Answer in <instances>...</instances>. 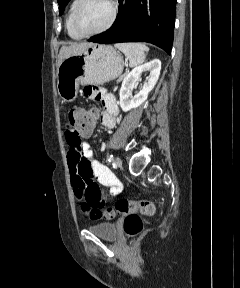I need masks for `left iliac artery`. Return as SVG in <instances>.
I'll return each mask as SVG.
<instances>
[{"mask_svg":"<svg viewBox=\"0 0 240 288\" xmlns=\"http://www.w3.org/2000/svg\"><path fill=\"white\" fill-rule=\"evenodd\" d=\"M113 160H114L113 155H109V156H108V162H113Z\"/></svg>","mask_w":240,"mask_h":288,"instance_id":"obj_1","label":"left iliac artery"}]
</instances>
